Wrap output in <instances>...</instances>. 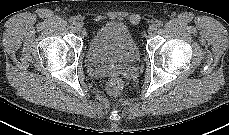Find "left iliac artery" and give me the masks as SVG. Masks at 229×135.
I'll return each mask as SVG.
<instances>
[{
    "label": "left iliac artery",
    "instance_id": "left-iliac-artery-1",
    "mask_svg": "<svg viewBox=\"0 0 229 135\" xmlns=\"http://www.w3.org/2000/svg\"><path fill=\"white\" fill-rule=\"evenodd\" d=\"M157 25L160 27V26H163V22L162 21H158L157 22Z\"/></svg>",
    "mask_w": 229,
    "mask_h": 135
}]
</instances>
